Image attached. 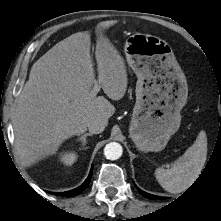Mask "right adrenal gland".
I'll list each match as a JSON object with an SVG mask.
<instances>
[{
    "mask_svg": "<svg viewBox=\"0 0 221 221\" xmlns=\"http://www.w3.org/2000/svg\"><path fill=\"white\" fill-rule=\"evenodd\" d=\"M88 136H92V133H85L84 135H81L80 137H79V140L82 142V146L84 147L85 145H86V143H87V137Z\"/></svg>",
    "mask_w": 221,
    "mask_h": 221,
    "instance_id": "right-adrenal-gland-1",
    "label": "right adrenal gland"
}]
</instances>
